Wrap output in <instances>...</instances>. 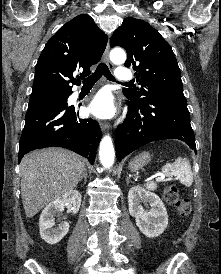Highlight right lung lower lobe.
Instances as JSON below:
<instances>
[{
	"label": "right lung lower lobe",
	"mask_w": 221,
	"mask_h": 274,
	"mask_svg": "<svg viewBox=\"0 0 221 274\" xmlns=\"http://www.w3.org/2000/svg\"><path fill=\"white\" fill-rule=\"evenodd\" d=\"M101 136L98 122L92 119H79L76 108L68 106L67 99L30 106L20 139L19 162L32 150L57 146L87 157L93 164L95 149Z\"/></svg>",
	"instance_id": "1"
}]
</instances>
